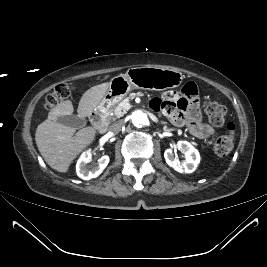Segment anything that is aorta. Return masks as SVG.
Returning <instances> with one entry per match:
<instances>
[{
    "label": "aorta",
    "instance_id": "1",
    "mask_svg": "<svg viewBox=\"0 0 267 267\" xmlns=\"http://www.w3.org/2000/svg\"><path fill=\"white\" fill-rule=\"evenodd\" d=\"M131 120L134 126L140 128L148 123L147 114L141 110L134 111L131 115Z\"/></svg>",
    "mask_w": 267,
    "mask_h": 267
}]
</instances>
